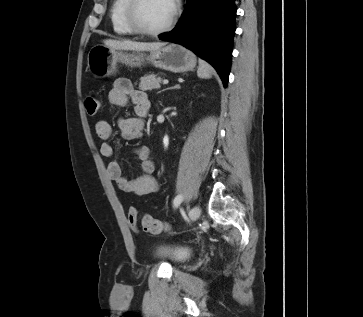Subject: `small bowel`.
Returning <instances> with one entry per match:
<instances>
[{
    "instance_id": "1",
    "label": "small bowel",
    "mask_w": 363,
    "mask_h": 317,
    "mask_svg": "<svg viewBox=\"0 0 363 317\" xmlns=\"http://www.w3.org/2000/svg\"><path fill=\"white\" fill-rule=\"evenodd\" d=\"M108 100L117 107H124L129 101L134 104L136 116L122 118L118 123V129L120 136L125 140L140 138L144 128V118L150 108L147 95L136 90L130 80L119 78L110 89ZM95 130L98 137L104 140L100 147L101 154L110 158L107 165V174L110 180L114 181L121 190L138 197L159 190V183L153 175L155 164L147 146L141 145L135 148L134 153L140 161L141 173L137 177L129 179L124 174L120 161L115 157V146L109 141L115 135L111 124L105 120H99L95 125Z\"/></svg>"
}]
</instances>
